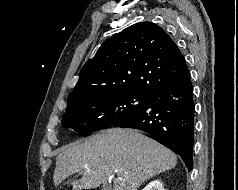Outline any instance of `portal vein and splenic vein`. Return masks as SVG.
<instances>
[{
	"instance_id": "18ae733b",
	"label": "portal vein and splenic vein",
	"mask_w": 238,
	"mask_h": 190,
	"mask_svg": "<svg viewBox=\"0 0 238 190\" xmlns=\"http://www.w3.org/2000/svg\"><path fill=\"white\" fill-rule=\"evenodd\" d=\"M118 172V170H115V173H117Z\"/></svg>"
}]
</instances>
